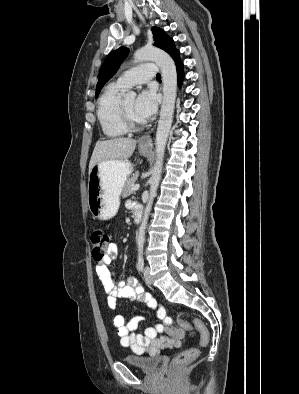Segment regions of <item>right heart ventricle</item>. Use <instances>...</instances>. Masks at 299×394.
I'll return each instance as SVG.
<instances>
[{"label":"right heart ventricle","instance_id":"right-heart-ventricle-1","mask_svg":"<svg viewBox=\"0 0 299 394\" xmlns=\"http://www.w3.org/2000/svg\"><path fill=\"white\" fill-rule=\"evenodd\" d=\"M124 89L117 82H113L105 88L98 101L97 117L104 135L109 138L121 137L127 133L119 114Z\"/></svg>","mask_w":299,"mask_h":394}]
</instances>
